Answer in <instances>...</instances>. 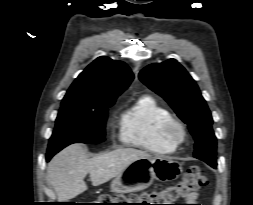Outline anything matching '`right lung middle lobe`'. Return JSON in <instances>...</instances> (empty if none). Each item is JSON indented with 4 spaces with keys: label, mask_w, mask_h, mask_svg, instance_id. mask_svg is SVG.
Returning <instances> with one entry per match:
<instances>
[{
    "label": "right lung middle lobe",
    "mask_w": 253,
    "mask_h": 205,
    "mask_svg": "<svg viewBox=\"0 0 253 205\" xmlns=\"http://www.w3.org/2000/svg\"><path fill=\"white\" fill-rule=\"evenodd\" d=\"M115 99L98 105H61L47 153H57L72 143L95 144L105 140L108 107Z\"/></svg>",
    "instance_id": "1"
}]
</instances>
